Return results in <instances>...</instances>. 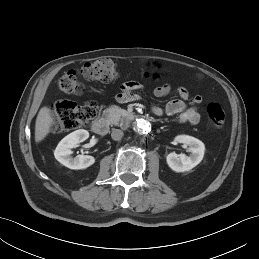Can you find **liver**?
Returning a JSON list of instances; mask_svg holds the SVG:
<instances>
[{
	"label": "liver",
	"instance_id": "obj_1",
	"mask_svg": "<svg viewBox=\"0 0 259 259\" xmlns=\"http://www.w3.org/2000/svg\"><path fill=\"white\" fill-rule=\"evenodd\" d=\"M53 118L48 107L44 106L40 109L35 123V142L38 143L50 133Z\"/></svg>",
	"mask_w": 259,
	"mask_h": 259
}]
</instances>
